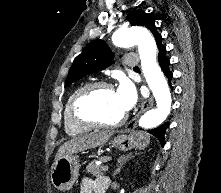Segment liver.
<instances>
[{
  "label": "liver",
  "instance_id": "liver-1",
  "mask_svg": "<svg viewBox=\"0 0 221 193\" xmlns=\"http://www.w3.org/2000/svg\"><path fill=\"white\" fill-rule=\"evenodd\" d=\"M112 132H94L68 140L58 149L55 161L66 155H72L87 149L104 145L111 137Z\"/></svg>",
  "mask_w": 221,
  "mask_h": 193
}]
</instances>
